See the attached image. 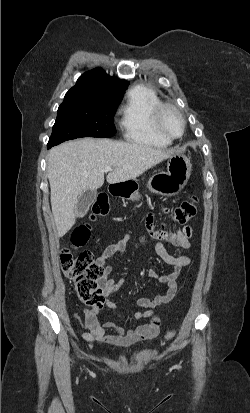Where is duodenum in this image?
Instances as JSON below:
<instances>
[{"label": "duodenum", "instance_id": "410a0bca", "mask_svg": "<svg viewBox=\"0 0 250 413\" xmlns=\"http://www.w3.org/2000/svg\"><path fill=\"white\" fill-rule=\"evenodd\" d=\"M120 190H121V184H114L110 186V194L113 196L120 195Z\"/></svg>", "mask_w": 250, "mask_h": 413}]
</instances>
